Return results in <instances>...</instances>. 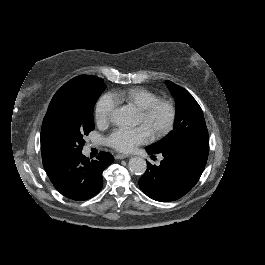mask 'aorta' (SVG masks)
Instances as JSON below:
<instances>
[{
  "label": "aorta",
  "instance_id": "obj_1",
  "mask_svg": "<svg viewBox=\"0 0 265 265\" xmlns=\"http://www.w3.org/2000/svg\"><path fill=\"white\" fill-rule=\"evenodd\" d=\"M113 120L116 124H128L130 122V119L129 115L126 112V108L122 107L116 109L113 114ZM128 167L133 174L141 175L145 172L147 165L144 158L134 156L129 159Z\"/></svg>",
  "mask_w": 265,
  "mask_h": 265
}]
</instances>
